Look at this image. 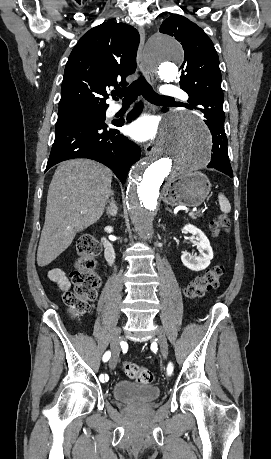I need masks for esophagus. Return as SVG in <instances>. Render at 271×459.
I'll use <instances>...</instances> for the list:
<instances>
[{"label": "esophagus", "instance_id": "34e87169", "mask_svg": "<svg viewBox=\"0 0 271 459\" xmlns=\"http://www.w3.org/2000/svg\"><path fill=\"white\" fill-rule=\"evenodd\" d=\"M139 34H140V44L138 48V53H137V62H138V67L139 69H142L146 79L148 80L149 83L152 85L155 83L154 79V67H153V62L152 60H143L144 56L142 55L144 43H145V31L143 28H139ZM150 113L155 114L156 113V108L155 107H149ZM144 152L145 155L147 156H152L155 153V141L154 140H149L146 142L144 145Z\"/></svg>", "mask_w": 271, "mask_h": 459}]
</instances>
